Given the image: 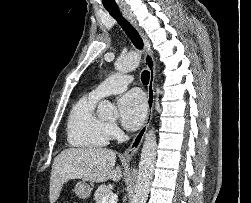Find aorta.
Wrapping results in <instances>:
<instances>
[{"label": "aorta", "instance_id": "aorta-1", "mask_svg": "<svg viewBox=\"0 0 251 203\" xmlns=\"http://www.w3.org/2000/svg\"><path fill=\"white\" fill-rule=\"evenodd\" d=\"M140 62L137 52H131L117 59L115 69L122 73L134 70ZM97 113L102 118H113L117 116V109L108 100L99 103ZM156 136L154 129L148 131L143 143L141 158L139 162L138 175L134 188V195L131 203H146L150 185L153 179L154 166L156 162Z\"/></svg>", "mask_w": 251, "mask_h": 203}]
</instances>
